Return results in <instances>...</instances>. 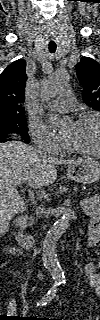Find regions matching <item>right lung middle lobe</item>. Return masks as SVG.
<instances>
[{
	"label": "right lung middle lobe",
	"mask_w": 100,
	"mask_h": 320,
	"mask_svg": "<svg viewBox=\"0 0 100 320\" xmlns=\"http://www.w3.org/2000/svg\"><path fill=\"white\" fill-rule=\"evenodd\" d=\"M20 134L24 138L25 142L29 143L30 138L28 135V128L25 116L13 117L0 120V135L3 137L2 141H8L6 139L8 134Z\"/></svg>",
	"instance_id": "dd1d6c3e"
}]
</instances>
